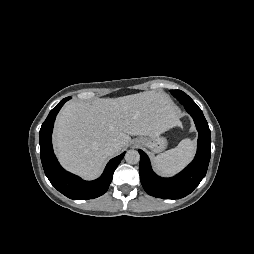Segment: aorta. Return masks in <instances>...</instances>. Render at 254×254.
<instances>
[{
  "instance_id": "obj_1",
  "label": "aorta",
  "mask_w": 254,
  "mask_h": 254,
  "mask_svg": "<svg viewBox=\"0 0 254 254\" xmlns=\"http://www.w3.org/2000/svg\"><path fill=\"white\" fill-rule=\"evenodd\" d=\"M125 160L129 164H137L140 161V154L136 150H128L125 154Z\"/></svg>"
}]
</instances>
